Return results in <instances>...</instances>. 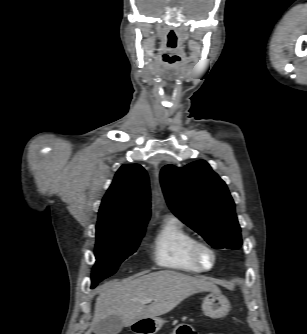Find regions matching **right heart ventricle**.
I'll return each mask as SVG.
<instances>
[{
  "label": "right heart ventricle",
  "instance_id": "1",
  "mask_svg": "<svg viewBox=\"0 0 307 334\" xmlns=\"http://www.w3.org/2000/svg\"><path fill=\"white\" fill-rule=\"evenodd\" d=\"M195 236L174 217H166L151 240L152 259L159 267L184 273H201L191 258Z\"/></svg>",
  "mask_w": 307,
  "mask_h": 334
}]
</instances>
